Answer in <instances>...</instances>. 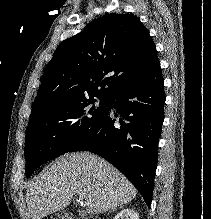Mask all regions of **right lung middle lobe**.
<instances>
[{"mask_svg":"<svg viewBox=\"0 0 211 219\" xmlns=\"http://www.w3.org/2000/svg\"><path fill=\"white\" fill-rule=\"evenodd\" d=\"M94 102L93 97L84 98L29 120L24 149L27 177L44 162L69 152L95 128L108 110L109 99L100 98L98 108L89 106Z\"/></svg>","mask_w":211,"mask_h":219,"instance_id":"1","label":"right lung middle lobe"}]
</instances>
